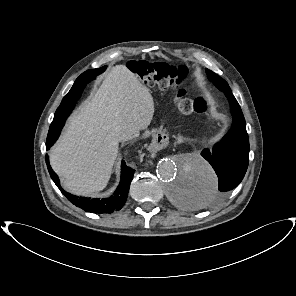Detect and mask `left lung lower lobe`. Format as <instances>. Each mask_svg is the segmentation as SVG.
<instances>
[{
    "mask_svg": "<svg viewBox=\"0 0 296 296\" xmlns=\"http://www.w3.org/2000/svg\"><path fill=\"white\" fill-rule=\"evenodd\" d=\"M233 123L231 129L217 143L213 151L204 149L201 155L211 164L218 176V188L209 194L199 193L185 176L176 189L183 206L200 208L223 198L236 188L245 176L249 163V138L241 108L234 96L228 98Z\"/></svg>",
    "mask_w": 296,
    "mask_h": 296,
    "instance_id": "1",
    "label": "left lung lower lobe"
}]
</instances>
